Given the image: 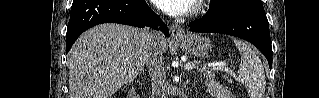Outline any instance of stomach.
Returning <instances> with one entry per match:
<instances>
[{"mask_svg":"<svg viewBox=\"0 0 319 98\" xmlns=\"http://www.w3.org/2000/svg\"><path fill=\"white\" fill-rule=\"evenodd\" d=\"M178 45L185 53L195 57H205L211 46L208 38L192 33L179 39Z\"/></svg>","mask_w":319,"mask_h":98,"instance_id":"0dacf381","label":"stomach"}]
</instances>
